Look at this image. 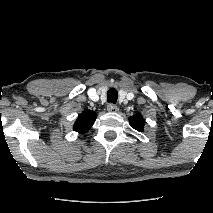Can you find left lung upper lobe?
Here are the masks:
<instances>
[{
    "instance_id": "left-lung-upper-lobe-1",
    "label": "left lung upper lobe",
    "mask_w": 213,
    "mask_h": 213,
    "mask_svg": "<svg viewBox=\"0 0 213 213\" xmlns=\"http://www.w3.org/2000/svg\"><path fill=\"white\" fill-rule=\"evenodd\" d=\"M129 123L132 128L136 129L137 131H142L144 127V119L141 114L137 113L129 118Z\"/></svg>"
}]
</instances>
